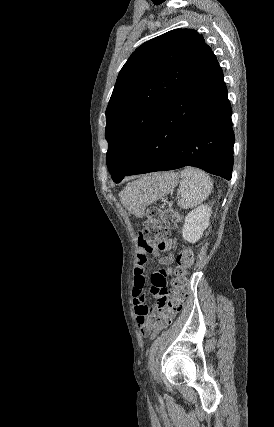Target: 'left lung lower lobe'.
<instances>
[{"label": "left lung lower lobe", "mask_w": 274, "mask_h": 427, "mask_svg": "<svg viewBox=\"0 0 274 427\" xmlns=\"http://www.w3.org/2000/svg\"><path fill=\"white\" fill-rule=\"evenodd\" d=\"M222 70L213 52L166 107L125 176L193 166L231 179L234 133Z\"/></svg>", "instance_id": "left-lung-lower-lobe-1"}]
</instances>
